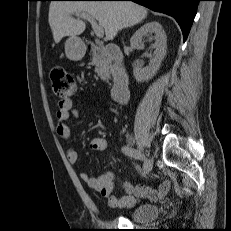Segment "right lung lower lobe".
<instances>
[{"label": "right lung lower lobe", "mask_w": 231, "mask_h": 231, "mask_svg": "<svg viewBox=\"0 0 231 231\" xmlns=\"http://www.w3.org/2000/svg\"><path fill=\"white\" fill-rule=\"evenodd\" d=\"M92 1H99V0H92ZM114 1H119V0H114ZM124 1H133L145 7H148L154 11L162 12L172 16L180 25L185 41L189 34L194 17L196 15L198 3L201 0H124Z\"/></svg>", "instance_id": "1"}]
</instances>
